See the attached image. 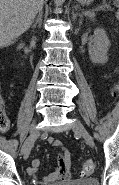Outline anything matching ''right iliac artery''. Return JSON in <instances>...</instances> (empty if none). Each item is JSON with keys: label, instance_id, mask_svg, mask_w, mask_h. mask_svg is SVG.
Returning a JSON list of instances; mask_svg holds the SVG:
<instances>
[{"label": "right iliac artery", "instance_id": "right-iliac-artery-1", "mask_svg": "<svg viewBox=\"0 0 119 185\" xmlns=\"http://www.w3.org/2000/svg\"><path fill=\"white\" fill-rule=\"evenodd\" d=\"M28 143H29V138H27L26 141L24 142V144H23V146L21 148V152H23L25 150V148L28 145Z\"/></svg>", "mask_w": 119, "mask_h": 185}]
</instances>
